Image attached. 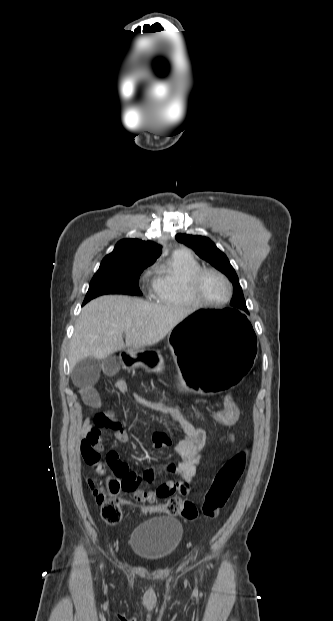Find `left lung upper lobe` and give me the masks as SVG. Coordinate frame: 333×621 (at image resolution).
Returning <instances> with one entry per match:
<instances>
[{"label":"left lung upper lobe","instance_id":"obj_1","mask_svg":"<svg viewBox=\"0 0 333 621\" xmlns=\"http://www.w3.org/2000/svg\"><path fill=\"white\" fill-rule=\"evenodd\" d=\"M176 239L178 242L192 248L200 258L209 262L212 266L229 277L235 290L230 303L231 308L248 313L238 277L226 255L207 237L179 233L176 235Z\"/></svg>","mask_w":333,"mask_h":621}]
</instances>
